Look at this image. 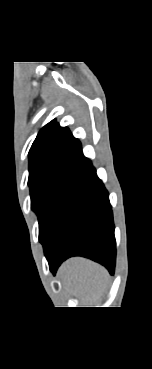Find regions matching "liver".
I'll list each match as a JSON object with an SVG mask.
<instances>
[{
  "instance_id": "6515ba94",
  "label": "liver",
  "mask_w": 152,
  "mask_h": 369,
  "mask_svg": "<svg viewBox=\"0 0 152 369\" xmlns=\"http://www.w3.org/2000/svg\"><path fill=\"white\" fill-rule=\"evenodd\" d=\"M58 275L84 303L99 300L106 290L108 273L105 268L84 258L67 260L60 267Z\"/></svg>"
}]
</instances>
